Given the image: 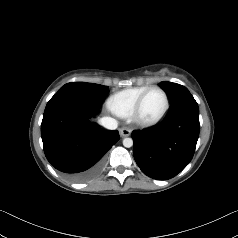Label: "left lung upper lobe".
<instances>
[{
	"mask_svg": "<svg viewBox=\"0 0 238 238\" xmlns=\"http://www.w3.org/2000/svg\"><path fill=\"white\" fill-rule=\"evenodd\" d=\"M161 86L167 91L171 103L181 98L186 94H190L188 89L182 85L172 82H161Z\"/></svg>",
	"mask_w": 238,
	"mask_h": 238,
	"instance_id": "1",
	"label": "left lung upper lobe"
}]
</instances>
